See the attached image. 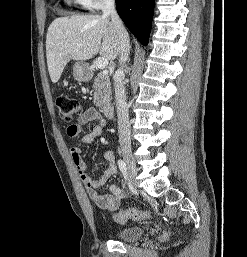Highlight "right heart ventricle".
<instances>
[{
    "mask_svg": "<svg viewBox=\"0 0 247 257\" xmlns=\"http://www.w3.org/2000/svg\"><path fill=\"white\" fill-rule=\"evenodd\" d=\"M68 3L79 4L78 0H66Z\"/></svg>",
    "mask_w": 247,
    "mask_h": 257,
    "instance_id": "right-heart-ventricle-1",
    "label": "right heart ventricle"
}]
</instances>
